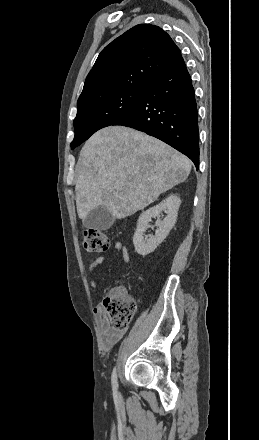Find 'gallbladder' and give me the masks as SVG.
Returning <instances> with one entry per match:
<instances>
[{"label": "gallbladder", "instance_id": "bac80fb5", "mask_svg": "<svg viewBox=\"0 0 259 440\" xmlns=\"http://www.w3.org/2000/svg\"><path fill=\"white\" fill-rule=\"evenodd\" d=\"M115 222L111 212L105 207H98L92 210L83 220V226L87 229L107 230Z\"/></svg>", "mask_w": 259, "mask_h": 440}]
</instances>
